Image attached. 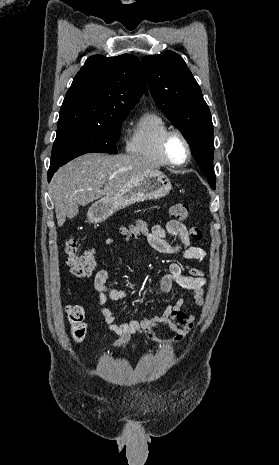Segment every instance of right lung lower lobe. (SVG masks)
<instances>
[{"label":"right lung lower lobe","instance_id":"1","mask_svg":"<svg viewBox=\"0 0 279 465\" xmlns=\"http://www.w3.org/2000/svg\"><path fill=\"white\" fill-rule=\"evenodd\" d=\"M60 166H54V167H51L49 168V171H48V181L51 180L53 174L57 171V169L59 168Z\"/></svg>","mask_w":279,"mask_h":465}]
</instances>
